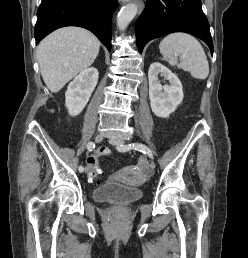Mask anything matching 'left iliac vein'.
<instances>
[{
	"label": "left iliac vein",
	"instance_id": "4c4485c4",
	"mask_svg": "<svg viewBox=\"0 0 248 258\" xmlns=\"http://www.w3.org/2000/svg\"><path fill=\"white\" fill-rule=\"evenodd\" d=\"M109 143L113 146H117L119 147L120 145L124 144V140L123 139H119V138H110L109 139ZM155 168V163L153 161H151L150 163V169L154 170Z\"/></svg>",
	"mask_w": 248,
	"mask_h": 258
}]
</instances>
